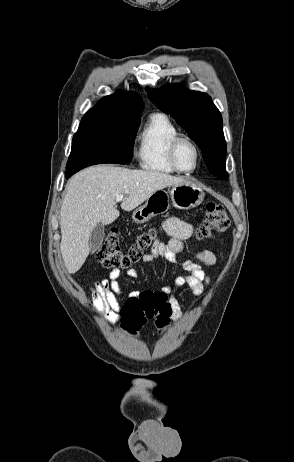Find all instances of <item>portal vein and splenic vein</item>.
Instances as JSON below:
<instances>
[{
    "label": "portal vein and splenic vein",
    "instance_id": "obj_1",
    "mask_svg": "<svg viewBox=\"0 0 294 462\" xmlns=\"http://www.w3.org/2000/svg\"><path fill=\"white\" fill-rule=\"evenodd\" d=\"M124 199V195H118L116 197V202L122 201Z\"/></svg>",
    "mask_w": 294,
    "mask_h": 462
}]
</instances>
